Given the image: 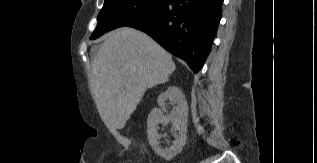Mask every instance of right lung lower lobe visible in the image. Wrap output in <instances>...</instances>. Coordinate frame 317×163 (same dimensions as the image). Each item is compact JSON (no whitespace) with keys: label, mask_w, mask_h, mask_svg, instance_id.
I'll return each mask as SVG.
<instances>
[{"label":"right lung lower lobe","mask_w":317,"mask_h":163,"mask_svg":"<svg viewBox=\"0 0 317 163\" xmlns=\"http://www.w3.org/2000/svg\"><path fill=\"white\" fill-rule=\"evenodd\" d=\"M224 0H168L127 27L151 36L185 60L194 73L203 66L216 35Z\"/></svg>","instance_id":"right-lung-lower-lobe-1"}]
</instances>
